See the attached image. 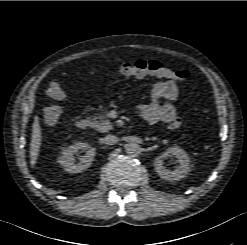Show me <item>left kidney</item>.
<instances>
[{"label": "left kidney", "mask_w": 247, "mask_h": 245, "mask_svg": "<svg viewBox=\"0 0 247 245\" xmlns=\"http://www.w3.org/2000/svg\"><path fill=\"white\" fill-rule=\"evenodd\" d=\"M174 156L178 159L179 164L173 171L166 169L164 160L167 157ZM154 167L157 174L168 181H178L184 178L191 170V162L186 151L178 146L168 148L165 152L157 157L154 161Z\"/></svg>", "instance_id": "left-kidney-1"}]
</instances>
